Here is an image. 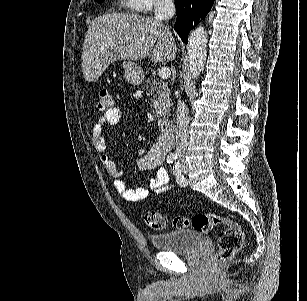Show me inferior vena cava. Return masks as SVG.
<instances>
[{
  "mask_svg": "<svg viewBox=\"0 0 307 301\" xmlns=\"http://www.w3.org/2000/svg\"><path fill=\"white\" fill-rule=\"evenodd\" d=\"M154 12L156 20H169L176 12L174 0H156ZM176 112L175 153L176 155H183L187 146L190 116L186 102L180 100V98L177 100Z\"/></svg>",
  "mask_w": 307,
  "mask_h": 301,
  "instance_id": "602c4592",
  "label": "inferior vena cava"
}]
</instances>
